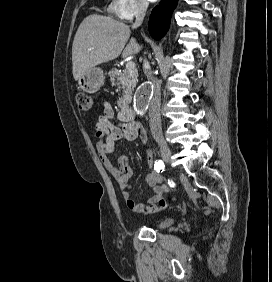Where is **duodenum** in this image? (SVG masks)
<instances>
[{"label": "duodenum", "mask_w": 272, "mask_h": 282, "mask_svg": "<svg viewBox=\"0 0 272 282\" xmlns=\"http://www.w3.org/2000/svg\"><path fill=\"white\" fill-rule=\"evenodd\" d=\"M135 114V110L129 106V103L127 101L123 102L120 112L121 118L125 121L132 120Z\"/></svg>", "instance_id": "1"}]
</instances>
